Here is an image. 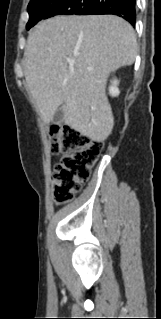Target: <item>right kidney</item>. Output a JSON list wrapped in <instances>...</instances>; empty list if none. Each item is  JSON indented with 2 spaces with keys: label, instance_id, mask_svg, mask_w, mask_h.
<instances>
[{
  "label": "right kidney",
  "instance_id": "right-kidney-1",
  "mask_svg": "<svg viewBox=\"0 0 161 319\" xmlns=\"http://www.w3.org/2000/svg\"><path fill=\"white\" fill-rule=\"evenodd\" d=\"M112 85L109 87V93L111 96H118L119 95V89L117 85L119 84V81L114 79L112 82Z\"/></svg>",
  "mask_w": 161,
  "mask_h": 319
}]
</instances>
